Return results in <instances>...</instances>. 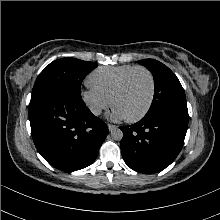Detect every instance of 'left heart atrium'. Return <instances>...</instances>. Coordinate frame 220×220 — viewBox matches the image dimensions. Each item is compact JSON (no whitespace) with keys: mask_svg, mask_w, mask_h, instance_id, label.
I'll return each instance as SVG.
<instances>
[{"mask_svg":"<svg viewBox=\"0 0 220 220\" xmlns=\"http://www.w3.org/2000/svg\"><path fill=\"white\" fill-rule=\"evenodd\" d=\"M109 117L114 120L126 118L125 114L116 106H114V108L112 109L111 113L109 114Z\"/></svg>","mask_w":220,"mask_h":220,"instance_id":"39dd6f15","label":"left heart atrium"}]
</instances>
